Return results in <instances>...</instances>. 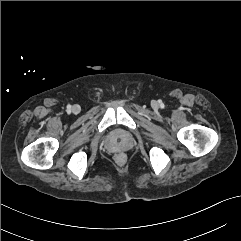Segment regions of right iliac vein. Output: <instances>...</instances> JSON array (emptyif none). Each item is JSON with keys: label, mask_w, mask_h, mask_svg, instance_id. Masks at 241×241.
Listing matches in <instances>:
<instances>
[{"label": "right iliac vein", "mask_w": 241, "mask_h": 241, "mask_svg": "<svg viewBox=\"0 0 241 241\" xmlns=\"http://www.w3.org/2000/svg\"><path fill=\"white\" fill-rule=\"evenodd\" d=\"M72 111H73V113H79L80 107H79L78 105H74V106L72 107Z\"/></svg>", "instance_id": "right-iliac-vein-1"}]
</instances>
